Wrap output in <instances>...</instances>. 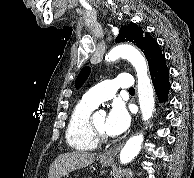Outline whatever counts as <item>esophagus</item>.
<instances>
[{
	"mask_svg": "<svg viewBox=\"0 0 194 178\" xmlns=\"http://www.w3.org/2000/svg\"><path fill=\"white\" fill-rule=\"evenodd\" d=\"M121 146H122V144L118 145L114 149H111L109 151L104 152L103 154H101V158H103V159H112L117 154V152L119 151Z\"/></svg>",
	"mask_w": 194,
	"mask_h": 178,
	"instance_id": "obj_1",
	"label": "esophagus"
}]
</instances>
